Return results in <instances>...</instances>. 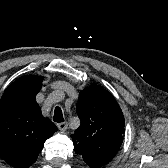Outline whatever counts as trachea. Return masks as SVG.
Segmentation results:
<instances>
[{
  "mask_svg": "<svg viewBox=\"0 0 168 168\" xmlns=\"http://www.w3.org/2000/svg\"><path fill=\"white\" fill-rule=\"evenodd\" d=\"M53 120H54L55 122H58V123L64 121L63 114H62V110H61L60 107H56V108H55Z\"/></svg>",
  "mask_w": 168,
  "mask_h": 168,
  "instance_id": "3493384b",
  "label": "trachea"
}]
</instances>
